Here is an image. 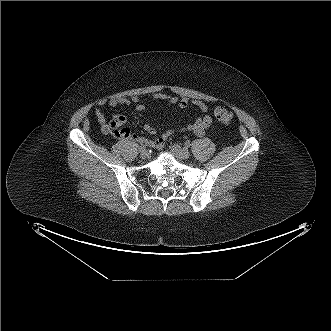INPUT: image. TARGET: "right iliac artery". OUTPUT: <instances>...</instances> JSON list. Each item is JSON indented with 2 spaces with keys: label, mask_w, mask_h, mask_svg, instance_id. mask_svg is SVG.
I'll use <instances>...</instances> for the list:
<instances>
[{
  "label": "right iliac artery",
  "mask_w": 331,
  "mask_h": 331,
  "mask_svg": "<svg viewBox=\"0 0 331 331\" xmlns=\"http://www.w3.org/2000/svg\"><path fill=\"white\" fill-rule=\"evenodd\" d=\"M146 148V144L141 145L140 150H143Z\"/></svg>",
  "instance_id": "right-iliac-artery-1"
}]
</instances>
